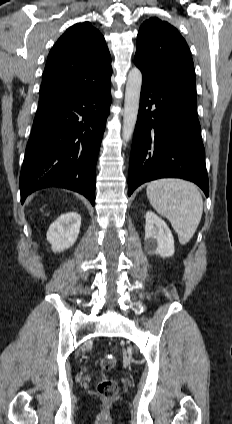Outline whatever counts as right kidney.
<instances>
[{
  "instance_id": "obj_1",
  "label": "right kidney",
  "mask_w": 232,
  "mask_h": 424,
  "mask_svg": "<svg viewBox=\"0 0 232 424\" xmlns=\"http://www.w3.org/2000/svg\"><path fill=\"white\" fill-rule=\"evenodd\" d=\"M81 225V216L77 212H68L58 217L47 231V240L54 252L70 248L76 242Z\"/></svg>"
}]
</instances>
